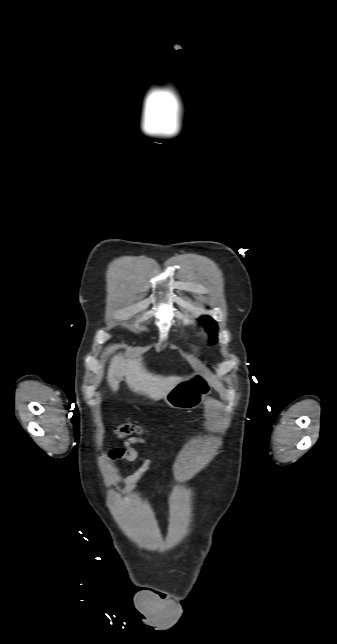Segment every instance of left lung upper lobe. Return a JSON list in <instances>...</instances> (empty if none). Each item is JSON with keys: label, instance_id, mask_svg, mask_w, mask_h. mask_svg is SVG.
Returning a JSON list of instances; mask_svg holds the SVG:
<instances>
[{"label": "left lung upper lobe", "instance_id": "left-lung-upper-lobe-1", "mask_svg": "<svg viewBox=\"0 0 337 644\" xmlns=\"http://www.w3.org/2000/svg\"><path fill=\"white\" fill-rule=\"evenodd\" d=\"M208 321L211 324V326L216 330L215 322L213 320H211V319H209Z\"/></svg>", "mask_w": 337, "mask_h": 644}]
</instances>
